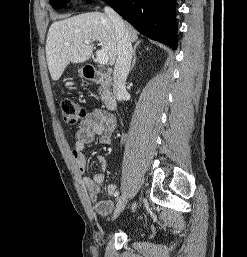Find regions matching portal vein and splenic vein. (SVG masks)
<instances>
[{
  "mask_svg": "<svg viewBox=\"0 0 247 257\" xmlns=\"http://www.w3.org/2000/svg\"><path fill=\"white\" fill-rule=\"evenodd\" d=\"M85 44H89V41H85ZM67 46H69V43H66ZM96 58L100 65H105L108 63V56L103 51H97L96 52Z\"/></svg>",
  "mask_w": 247,
  "mask_h": 257,
  "instance_id": "portal-vein-and-splenic-vein-1",
  "label": "portal vein and splenic vein"
}]
</instances>
